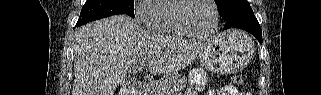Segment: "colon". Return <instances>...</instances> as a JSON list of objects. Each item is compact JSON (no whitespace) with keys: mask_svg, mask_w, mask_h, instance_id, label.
Here are the masks:
<instances>
[{"mask_svg":"<svg viewBox=\"0 0 321 95\" xmlns=\"http://www.w3.org/2000/svg\"><path fill=\"white\" fill-rule=\"evenodd\" d=\"M233 82L234 84L238 85V86H241L244 84L245 80H244V77L240 74H236L233 76Z\"/></svg>","mask_w":321,"mask_h":95,"instance_id":"5ec220e1","label":"colon"}]
</instances>
